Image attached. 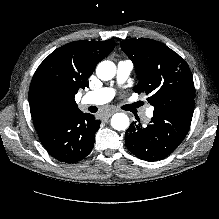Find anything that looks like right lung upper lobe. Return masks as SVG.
<instances>
[{"instance_id": "cb5924a9", "label": "right lung upper lobe", "mask_w": 219, "mask_h": 219, "mask_svg": "<svg viewBox=\"0 0 219 219\" xmlns=\"http://www.w3.org/2000/svg\"><path fill=\"white\" fill-rule=\"evenodd\" d=\"M115 47L106 41H76L52 52L37 68L29 89L32 119L42 114H70L79 110L74 98L89 86L96 65Z\"/></svg>"}]
</instances>
